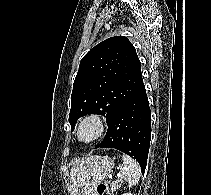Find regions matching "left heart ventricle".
<instances>
[{
    "label": "left heart ventricle",
    "instance_id": "obj_1",
    "mask_svg": "<svg viewBox=\"0 0 211 195\" xmlns=\"http://www.w3.org/2000/svg\"><path fill=\"white\" fill-rule=\"evenodd\" d=\"M96 132V126L93 123H87L81 130V136L84 139L91 138Z\"/></svg>",
    "mask_w": 211,
    "mask_h": 195
}]
</instances>
